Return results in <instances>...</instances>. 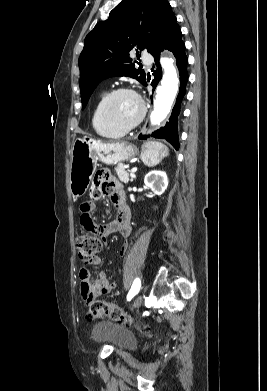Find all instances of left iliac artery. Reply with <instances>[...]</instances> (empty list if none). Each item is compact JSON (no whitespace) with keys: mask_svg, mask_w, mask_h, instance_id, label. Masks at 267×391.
<instances>
[{"mask_svg":"<svg viewBox=\"0 0 267 391\" xmlns=\"http://www.w3.org/2000/svg\"><path fill=\"white\" fill-rule=\"evenodd\" d=\"M140 286H141V281L139 278L135 279L134 282H133V285L127 295V300L130 301L134 295H136L138 293V291L140 290Z\"/></svg>","mask_w":267,"mask_h":391,"instance_id":"obj_1","label":"left iliac artery"}]
</instances>
